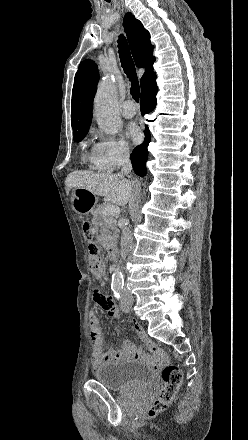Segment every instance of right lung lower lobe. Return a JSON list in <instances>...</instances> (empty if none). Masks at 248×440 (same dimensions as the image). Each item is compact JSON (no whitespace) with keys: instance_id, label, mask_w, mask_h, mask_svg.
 Instances as JSON below:
<instances>
[{"instance_id":"right-lung-lower-lobe-1","label":"right lung lower lobe","mask_w":248,"mask_h":440,"mask_svg":"<svg viewBox=\"0 0 248 440\" xmlns=\"http://www.w3.org/2000/svg\"><path fill=\"white\" fill-rule=\"evenodd\" d=\"M158 91V87L156 85V81L151 82L144 90L141 92V114L144 115L146 113L151 112L154 110L156 106V94ZM145 133V140L140 145L137 146L130 158L133 165V169L135 173L139 176H144L146 174V161L148 159V144L151 140V134L147 126Z\"/></svg>"}]
</instances>
